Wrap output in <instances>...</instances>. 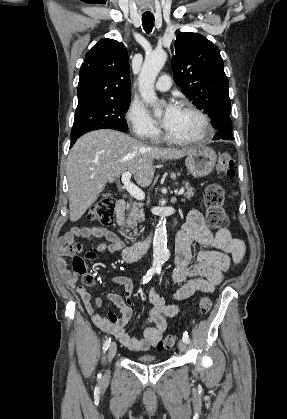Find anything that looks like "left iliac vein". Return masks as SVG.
<instances>
[{
	"label": "left iliac vein",
	"instance_id": "left-iliac-vein-1",
	"mask_svg": "<svg viewBox=\"0 0 287 419\" xmlns=\"http://www.w3.org/2000/svg\"><path fill=\"white\" fill-rule=\"evenodd\" d=\"M179 350L185 352L187 349V343L184 340H180L178 343Z\"/></svg>",
	"mask_w": 287,
	"mask_h": 419
}]
</instances>
